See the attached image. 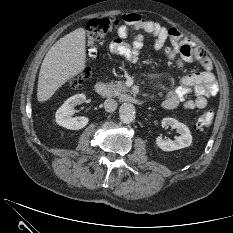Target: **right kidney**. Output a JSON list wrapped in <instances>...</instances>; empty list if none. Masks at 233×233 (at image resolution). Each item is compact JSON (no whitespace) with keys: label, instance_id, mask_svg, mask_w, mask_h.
<instances>
[{"label":"right kidney","instance_id":"ca27d5eb","mask_svg":"<svg viewBox=\"0 0 233 233\" xmlns=\"http://www.w3.org/2000/svg\"><path fill=\"white\" fill-rule=\"evenodd\" d=\"M85 99L86 96L84 94H76L68 98L56 111V123L70 130H79L84 128L88 124L89 119L84 116H72L75 113L74 107L76 105H80Z\"/></svg>","mask_w":233,"mask_h":233}]
</instances>
